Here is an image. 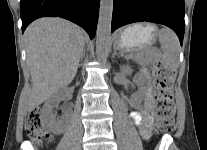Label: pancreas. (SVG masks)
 I'll use <instances>...</instances> for the list:
<instances>
[{"instance_id":"cf45deb5","label":"pancreas","mask_w":207,"mask_h":150,"mask_svg":"<svg viewBox=\"0 0 207 150\" xmlns=\"http://www.w3.org/2000/svg\"><path fill=\"white\" fill-rule=\"evenodd\" d=\"M134 58L139 64L148 65L155 58V54L150 50H146L135 53Z\"/></svg>"}]
</instances>
